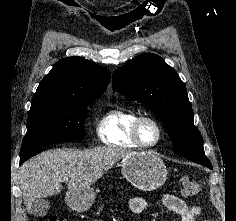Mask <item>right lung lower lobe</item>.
<instances>
[{"mask_svg": "<svg viewBox=\"0 0 236 221\" xmlns=\"http://www.w3.org/2000/svg\"><path fill=\"white\" fill-rule=\"evenodd\" d=\"M44 150V148H38V149H34L31 151H28L24 154L20 155V164H22L23 162H25L26 160H28L29 158H31L32 156H35L36 154L42 152Z\"/></svg>", "mask_w": 236, "mask_h": 221, "instance_id": "98d812e1", "label": "right lung lower lobe"}]
</instances>
